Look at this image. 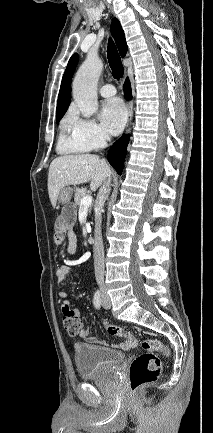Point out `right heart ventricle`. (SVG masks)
I'll return each mask as SVG.
<instances>
[{
  "label": "right heart ventricle",
  "instance_id": "right-heart-ventricle-1",
  "mask_svg": "<svg viewBox=\"0 0 213 433\" xmlns=\"http://www.w3.org/2000/svg\"><path fill=\"white\" fill-rule=\"evenodd\" d=\"M57 149L63 154H79L86 153L91 150L73 135L68 120H66L63 124V131L59 136Z\"/></svg>",
  "mask_w": 213,
  "mask_h": 433
}]
</instances>
